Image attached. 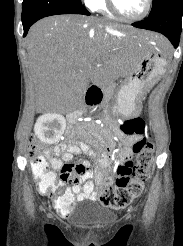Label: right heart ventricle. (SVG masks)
<instances>
[{"label":"right heart ventricle","mask_w":183,"mask_h":246,"mask_svg":"<svg viewBox=\"0 0 183 246\" xmlns=\"http://www.w3.org/2000/svg\"><path fill=\"white\" fill-rule=\"evenodd\" d=\"M92 10L100 12L106 16H113L107 6L106 0H97L93 5Z\"/></svg>","instance_id":"1"}]
</instances>
